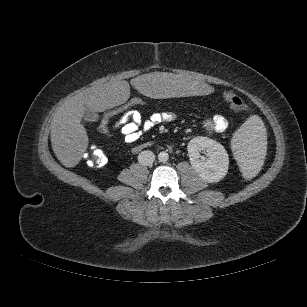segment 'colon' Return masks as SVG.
I'll list each match as a JSON object with an SVG mask.
<instances>
[{"label": "colon", "instance_id": "colon-1", "mask_svg": "<svg viewBox=\"0 0 307 307\" xmlns=\"http://www.w3.org/2000/svg\"><path fill=\"white\" fill-rule=\"evenodd\" d=\"M224 99L231 108L237 112H244L248 109L245 102L233 92H225ZM150 99L144 96H131L121 104L106 111L99 122L98 129L101 134L111 136L113 125L125 118L130 112L137 110L138 107L149 104ZM85 160L90 167H103L107 163L105 153L97 146H90L85 152Z\"/></svg>", "mask_w": 307, "mask_h": 307}]
</instances>
